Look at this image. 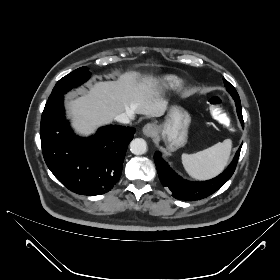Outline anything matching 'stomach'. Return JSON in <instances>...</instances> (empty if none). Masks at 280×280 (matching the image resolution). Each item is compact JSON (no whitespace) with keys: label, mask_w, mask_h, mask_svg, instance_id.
Here are the masks:
<instances>
[{"label":"stomach","mask_w":280,"mask_h":280,"mask_svg":"<svg viewBox=\"0 0 280 280\" xmlns=\"http://www.w3.org/2000/svg\"><path fill=\"white\" fill-rule=\"evenodd\" d=\"M190 122V114L182 107L174 105L169 109L165 122L157 126L168 150L175 151L187 143Z\"/></svg>","instance_id":"obj_1"}]
</instances>
